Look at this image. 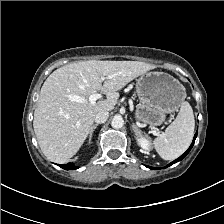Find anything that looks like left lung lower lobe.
<instances>
[{"mask_svg": "<svg viewBox=\"0 0 224 224\" xmlns=\"http://www.w3.org/2000/svg\"><path fill=\"white\" fill-rule=\"evenodd\" d=\"M196 137H197V133L195 134L194 139H193V142H192L191 146L189 147V149H188L182 156H180L178 159H176L175 161H173V162H171L170 164H168L166 167H169V166H171L172 164H174V163H176V162L182 160V159L189 153V151L191 150V148H192V146H193V144H194V141H195ZM146 167H148V168H150V169H154L153 167H149V166H146ZM166 167H164V168H166Z\"/></svg>", "mask_w": 224, "mask_h": 224, "instance_id": "obj_1", "label": "left lung lower lobe"}]
</instances>
